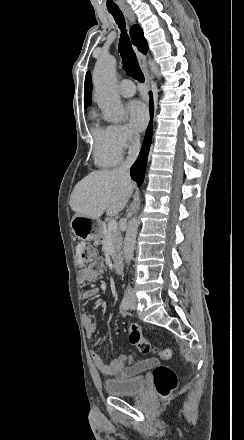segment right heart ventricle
Instances as JSON below:
<instances>
[{
    "instance_id": "e07e8e85",
    "label": "right heart ventricle",
    "mask_w": 244,
    "mask_h": 440,
    "mask_svg": "<svg viewBox=\"0 0 244 440\" xmlns=\"http://www.w3.org/2000/svg\"><path fill=\"white\" fill-rule=\"evenodd\" d=\"M91 122V134L96 141L94 158L98 166L108 168L117 165L122 160L121 152H109L105 149L99 148V145L106 142L107 130L99 121L98 115L95 110L90 113Z\"/></svg>"
}]
</instances>
